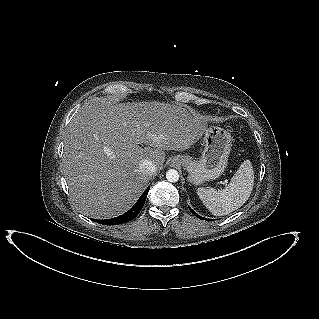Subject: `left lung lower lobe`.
<instances>
[{
  "label": "left lung lower lobe",
  "mask_w": 319,
  "mask_h": 319,
  "mask_svg": "<svg viewBox=\"0 0 319 319\" xmlns=\"http://www.w3.org/2000/svg\"><path fill=\"white\" fill-rule=\"evenodd\" d=\"M190 209V211L194 214V215H196V213L191 209V208H189ZM196 216H198V215H196ZM199 218H202V217H200V216H198ZM204 219V218H203ZM205 220V219H204Z\"/></svg>",
  "instance_id": "0a47b994"
}]
</instances>
